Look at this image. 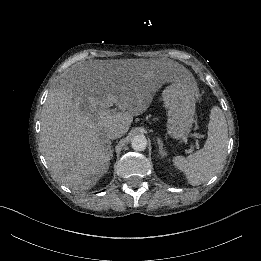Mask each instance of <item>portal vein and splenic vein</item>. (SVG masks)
<instances>
[{"instance_id": "18ae733b", "label": "portal vein and splenic vein", "mask_w": 261, "mask_h": 261, "mask_svg": "<svg viewBox=\"0 0 261 261\" xmlns=\"http://www.w3.org/2000/svg\"><path fill=\"white\" fill-rule=\"evenodd\" d=\"M206 135H208V132H203L202 134H189L186 138H184V140H181L179 142H177V145H182V143H185V141L187 140H195L197 143V148H200V141L199 138H204ZM193 151V146L190 147L189 152Z\"/></svg>"}]
</instances>
